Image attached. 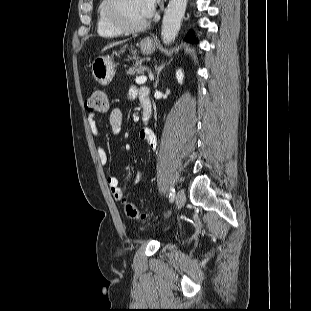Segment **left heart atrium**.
<instances>
[{
  "label": "left heart atrium",
  "instance_id": "left-heart-atrium-1",
  "mask_svg": "<svg viewBox=\"0 0 311 311\" xmlns=\"http://www.w3.org/2000/svg\"><path fill=\"white\" fill-rule=\"evenodd\" d=\"M143 6L148 17L152 16L159 0H142Z\"/></svg>",
  "mask_w": 311,
  "mask_h": 311
}]
</instances>
